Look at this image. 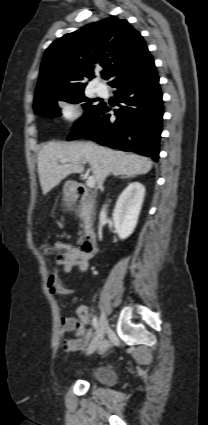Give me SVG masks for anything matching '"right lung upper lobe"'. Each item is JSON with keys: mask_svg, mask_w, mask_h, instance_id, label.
Instances as JSON below:
<instances>
[{"mask_svg": "<svg viewBox=\"0 0 208 425\" xmlns=\"http://www.w3.org/2000/svg\"><path fill=\"white\" fill-rule=\"evenodd\" d=\"M143 37L125 19L111 16L64 35L45 51L34 103L51 93L83 90L84 78H94L96 64L104 79L149 55Z\"/></svg>", "mask_w": 208, "mask_h": 425, "instance_id": "1", "label": "right lung upper lobe"}]
</instances>
